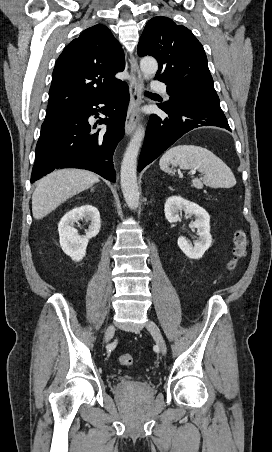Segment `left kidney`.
I'll return each instance as SVG.
<instances>
[{
  "label": "left kidney",
  "instance_id": "1",
  "mask_svg": "<svg viewBox=\"0 0 272 452\" xmlns=\"http://www.w3.org/2000/svg\"><path fill=\"white\" fill-rule=\"evenodd\" d=\"M182 211L195 217L193 226L197 229L199 239L192 246L185 237L180 236L177 244L190 259H200L212 243L210 216L205 209L181 196H171L166 200L164 212L168 222H177L180 219L179 212Z\"/></svg>",
  "mask_w": 272,
  "mask_h": 452
}]
</instances>
